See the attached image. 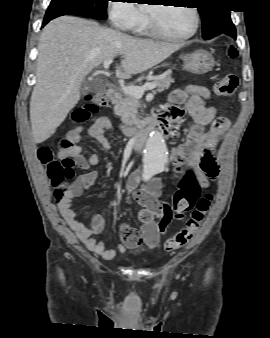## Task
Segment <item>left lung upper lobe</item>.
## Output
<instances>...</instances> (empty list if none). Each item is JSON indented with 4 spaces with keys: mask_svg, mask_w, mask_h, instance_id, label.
Wrapping results in <instances>:
<instances>
[{
    "mask_svg": "<svg viewBox=\"0 0 270 338\" xmlns=\"http://www.w3.org/2000/svg\"><path fill=\"white\" fill-rule=\"evenodd\" d=\"M198 2L204 39L213 38L220 33H227L234 27L230 11L225 7L226 0H199Z\"/></svg>",
    "mask_w": 270,
    "mask_h": 338,
    "instance_id": "5c2ea615",
    "label": "left lung upper lobe"
}]
</instances>
